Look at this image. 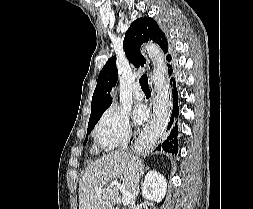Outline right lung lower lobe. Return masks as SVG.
<instances>
[{
    "instance_id": "1",
    "label": "right lung lower lobe",
    "mask_w": 253,
    "mask_h": 209,
    "mask_svg": "<svg viewBox=\"0 0 253 209\" xmlns=\"http://www.w3.org/2000/svg\"><path fill=\"white\" fill-rule=\"evenodd\" d=\"M172 71L169 72L171 76ZM170 85L172 86V98H173V109L172 113L166 123L164 130L159 138L160 144L157 146L156 150H165L168 153L177 154L178 151V124L177 118L179 115L178 107V92L176 88V81L173 77L170 79ZM134 142V141H133Z\"/></svg>"
}]
</instances>
